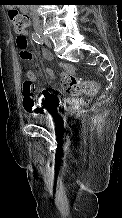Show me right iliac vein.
I'll return each mask as SVG.
<instances>
[{
	"label": "right iliac vein",
	"mask_w": 122,
	"mask_h": 218,
	"mask_svg": "<svg viewBox=\"0 0 122 218\" xmlns=\"http://www.w3.org/2000/svg\"><path fill=\"white\" fill-rule=\"evenodd\" d=\"M41 39L48 47H52V44L47 37L42 36Z\"/></svg>",
	"instance_id": "63e3f726"
}]
</instances>
